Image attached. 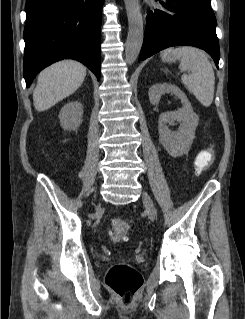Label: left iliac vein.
Instances as JSON below:
<instances>
[{
	"label": "left iliac vein",
	"mask_w": 245,
	"mask_h": 319,
	"mask_svg": "<svg viewBox=\"0 0 245 319\" xmlns=\"http://www.w3.org/2000/svg\"><path fill=\"white\" fill-rule=\"evenodd\" d=\"M142 198H143L144 206L148 212L149 218L152 221H154L156 219V216H157V211H156V208L153 204L151 197L149 196V194L147 192L144 191L142 194Z\"/></svg>",
	"instance_id": "4c4485c4"
}]
</instances>
